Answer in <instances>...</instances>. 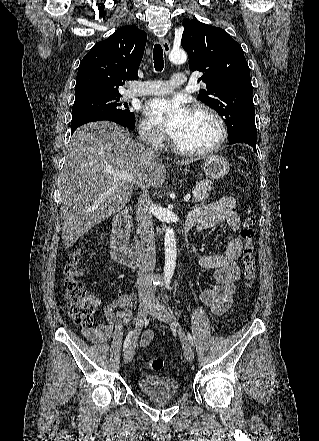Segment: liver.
<instances>
[{
    "instance_id": "liver-1",
    "label": "liver",
    "mask_w": 319,
    "mask_h": 441,
    "mask_svg": "<svg viewBox=\"0 0 319 441\" xmlns=\"http://www.w3.org/2000/svg\"><path fill=\"white\" fill-rule=\"evenodd\" d=\"M192 159L178 160L187 165ZM110 170L127 171L135 182H120ZM166 168L156 155H150L130 132L108 121L79 127L66 151L60 174V215L65 249L79 237L130 200L133 188L161 187Z\"/></svg>"
}]
</instances>
